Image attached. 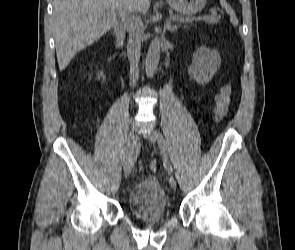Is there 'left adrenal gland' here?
<instances>
[{
	"label": "left adrenal gland",
	"mask_w": 295,
	"mask_h": 250,
	"mask_svg": "<svg viewBox=\"0 0 295 250\" xmlns=\"http://www.w3.org/2000/svg\"><path fill=\"white\" fill-rule=\"evenodd\" d=\"M165 28L170 32H175L179 28V25H172L170 21H167Z\"/></svg>",
	"instance_id": "a2214340"
}]
</instances>
